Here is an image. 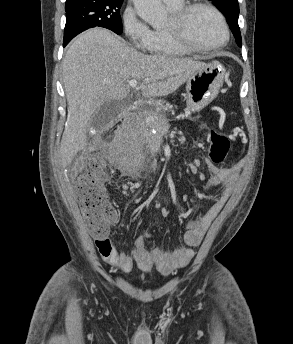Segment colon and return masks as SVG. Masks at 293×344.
I'll return each mask as SVG.
<instances>
[{"mask_svg": "<svg viewBox=\"0 0 293 344\" xmlns=\"http://www.w3.org/2000/svg\"><path fill=\"white\" fill-rule=\"evenodd\" d=\"M105 137L109 139L111 133L107 132ZM209 140V158L211 162L221 164L229 152L230 141L226 135L216 130L210 131ZM107 176L108 171L104 161L99 156L92 155L88 158L76 187L89 232L97 239L107 235L109 227L116 222L118 217L104 189Z\"/></svg>", "mask_w": 293, "mask_h": 344, "instance_id": "obj_1", "label": "colon"}]
</instances>
